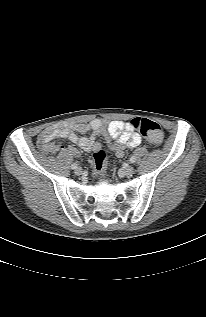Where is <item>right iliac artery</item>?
<instances>
[{"label": "right iliac artery", "instance_id": "1", "mask_svg": "<svg viewBox=\"0 0 206 317\" xmlns=\"http://www.w3.org/2000/svg\"><path fill=\"white\" fill-rule=\"evenodd\" d=\"M71 168H72V169L78 168V167H77V164L73 163V164L71 165Z\"/></svg>", "mask_w": 206, "mask_h": 317}]
</instances>
